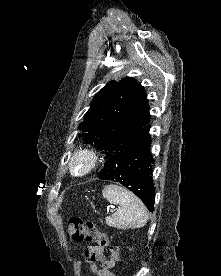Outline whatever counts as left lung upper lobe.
I'll return each instance as SVG.
<instances>
[{
	"mask_svg": "<svg viewBox=\"0 0 221 276\" xmlns=\"http://www.w3.org/2000/svg\"><path fill=\"white\" fill-rule=\"evenodd\" d=\"M150 122L146 92L132 77L106 84L95 96L79 129L86 143L110 158L132 145Z\"/></svg>",
	"mask_w": 221,
	"mask_h": 276,
	"instance_id": "obj_1",
	"label": "left lung upper lobe"
}]
</instances>
